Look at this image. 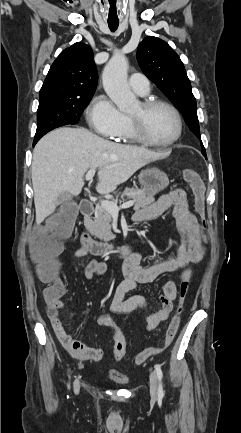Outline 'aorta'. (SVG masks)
Wrapping results in <instances>:
<instances>
[{
    "instance_id": "obj_1",
    "label": "aorta",
    "mask_w": 241,
    "mask_h": 433,
    "mask_svg": "<svg viewBox=\"0 0 241 433\" xmlns=\"http://www.w3.org/2000/svg\"><path fill=\"white\" fill-rule=\"evenodd\" d=\"M127 68V58L115 54L106 64L102 74L105 92L122 112L130 111L138 103L127 83Z\"/></svg>"
}]
</instances>
